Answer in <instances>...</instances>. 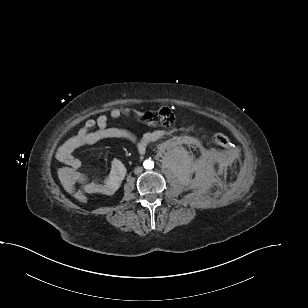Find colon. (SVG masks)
<instances>
[{"mask_svg":"<svg viewBox=\"0 0 308 308\" xmlns=\"http://www.w3.org/2000/svg\"><path fill=\"white\" fill-rule=\"evenodd\" d=\"M140 119L143 123L147 125L155 126V125H164L171 126L174 122V115L169 108H162L158 112H148L144 113L140 116ZM214 142L221 147H228L230 145L229 138L222 134L216 133L213 136ZM75 199L79 203H86L88 201V194H86L83 190L78 189L74 193Z\"/></svg>","mask_w":308,"mask_h":308,"instance_id":"obj_1","label":"colon"}]
</instances>
